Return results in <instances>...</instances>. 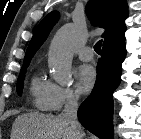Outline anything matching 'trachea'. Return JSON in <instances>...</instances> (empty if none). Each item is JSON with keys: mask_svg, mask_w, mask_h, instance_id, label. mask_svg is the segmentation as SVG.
I'll use <instances>...</instances> for the list:
<instances>
[{"mask_svg": "<svg viewBox=\"0 0 141 139\" xmlns=\"http://www.w3.org/2000/svg\"><path fill=\"white\" fill-rule=\"evenodd\" d=\"M101 45H102V40H99L94 46V50L98 54H101Z\"/></svg>", "mask_w": 141, "mask_h": 139, "instance_id": "1", "label": "trachea"}]
</instances>
